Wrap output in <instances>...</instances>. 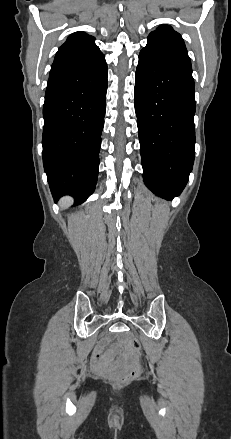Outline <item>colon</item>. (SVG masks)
<instances>
[{
  "instance_id": "1",
  "label": "colon",
  "mask_w": 231,
  "mask_h": 439,
  "mask_svg": "<svg viewBox=\"0 0 231 439\" xmlns=\"http://www.w3.org/2000/svg\"><path fill=\"white\" fill-rule=\"evenodd\" d=\"M130 348L131 350L139 355L141 353V343L137 339H132L130 341ZM141 369V363L140 359L137 358L134 362L133 368L128 373L122 374L118 377V380L120 382H125L131 379H134L140 372Z\"/></svg>"
}]
</instances>
